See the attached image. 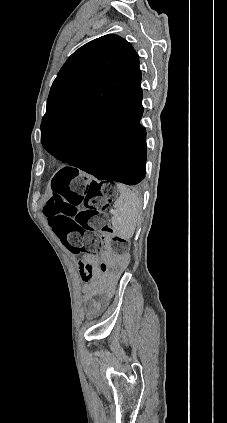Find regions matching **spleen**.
<instances>
[{
	"instance_id": "1",
	"label": "spleen",
	"mask_w": 227,
	"mask_h": 423,
	"mask_svg": "<svg viewBox=\"0 0 227 423\" xmlns=\"http://www.w3.org/2000/svg\"><path fill=\"white\" fill-rule=\"evenodd\" d=\"M120 198L114 202L115 213L112 217V225L116 235L129 239L134 235L138 217L142 210V200L127 190L123 184H118Z\"/></svg>"
}]
</instances>
